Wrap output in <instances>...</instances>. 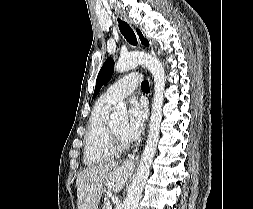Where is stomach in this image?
Returning <instances> with one entry per match:
<instances>
[{
    "label": "stomach",
    "mask_w": 253,
    "mask_h": 209,
    "mask_svg": "<svg viewBox=\"0 0 253 209\" xmlns=\"http://www.w3.org/2000/svg\"><path fill=\"white\" fill-rule=\"evenodd\" d=\"M100 190H110L111 182L110 181H101Z\"/></svg>",
    "instance_id": "1"
}]
</instances>
